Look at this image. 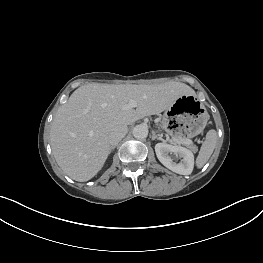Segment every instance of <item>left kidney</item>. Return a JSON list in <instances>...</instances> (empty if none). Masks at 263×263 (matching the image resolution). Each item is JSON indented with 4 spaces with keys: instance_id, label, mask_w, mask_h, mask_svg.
Listing matches in <instances>:
<instances>
[{
    "instance_id": "5707ae66",
    "label": "left kidney",
    "mask_w": 263,
    "mask_h": 263,
    "mask_svg": "<svg viewBox=\"0 0 263 263\" xmlns=\"http://www.w3.org/2000/svg\"><path fill=\"white\" fill-rule=\"evenodd\" d=\"M155 152L158 160L171 171L181 175H189L192 173L194 167V155L189 149L179 145L157 143L155 145ZM172 154L175 157H173ZM178 157L182 158L180 163L175 161V158Z\"/></svg>"
}]
</instances>
